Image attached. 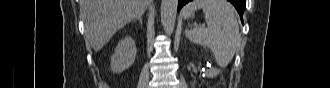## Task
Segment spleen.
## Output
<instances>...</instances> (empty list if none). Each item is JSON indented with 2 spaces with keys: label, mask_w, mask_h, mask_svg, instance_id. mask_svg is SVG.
I'll return each instance as SVG.
<instances>
[{
  "label": "spleen",
  "mask_w": 330,
  "mask_h": 88,
  "mask_svg": "<svg viewBox=\"0 0 330 88\" xmlns=\"http://www.w3.org/2000/svg\"><path fill=\"white\" fill-rule=\"evenodd\" d=\"M197 9L203 10L207 28L186 30V36L195 44L207 46L217 64L226 67L240 42L234 7L227 0H194L185 8L184 17L188 18Z\"/></svg>",
  "instance_id": "1"
}]
</instances>
